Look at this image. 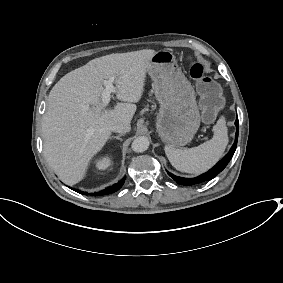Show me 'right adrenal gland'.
<instances>
[{
    "mask_svg": "<svg viewBox=\"0 0 283 283\" xmlns=\"http://www.w3.org/2000/svg\"><path fill=\"white\" fill-rule=\"evenodd\" d=\"M121 136H124V133H121L118 136H111L109 139H118V140L122 141Z\"/></svg>",
    "mask_w": 283,
    "mask_h": 283,
    "instance_id": "1",
    "label": "right adrenal gland"
}]
</instances>
